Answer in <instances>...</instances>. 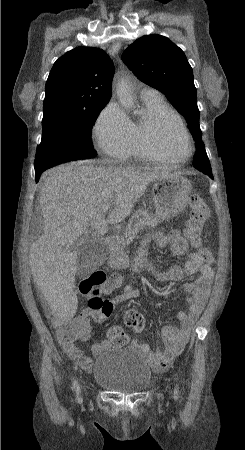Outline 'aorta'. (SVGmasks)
Segmentation results:
<instances>
[{"label": "aorta", "mask_w": 245, "mask_h": 450, "mask_svg": "<svg viewBox=\"0 0 245 450\" xmlns=\"http://www.w3.org/2000/svg\"><path fill=\"white\" fill-rule=\"evenodd\" d=\"M116 94L124 107L129 108L132 105L131 88L127 81L121 80L117 83Z\"/></svg>", "instance_id": "762f6f07"}]
</instances>
